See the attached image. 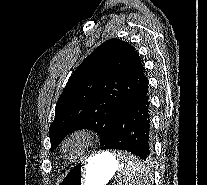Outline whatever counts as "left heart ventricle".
<instances>
[{
  "instance_id": "b2bd125f",
  "label": "left heart ventricle",
  "mask_w": 207,
  "mask_h": 185,
  "mask_svg": "<svg viewBox=\"0 0 207 185\" xmlns=\"http://www.w3.org/2000/svg\"><path fill=\"white\" fill-rule=\"evenodd\" d=\"M81 146H82V141L81 140L70 141L65 145L64 153L67 157H71L79 151Z\"/></svg>"
}]
</instances>
